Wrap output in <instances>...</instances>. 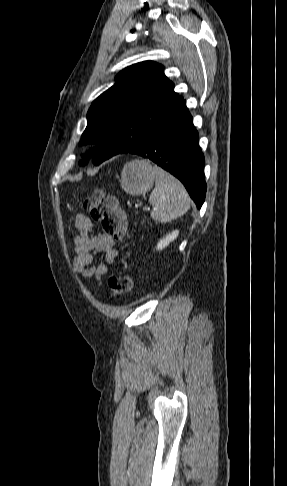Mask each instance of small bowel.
I'll return each instance as SVG.
<instances>
[{"instance_id":"c3829d8e","label":"small bowel","mask_w":287,"mask_h":486,"mask_svg":"<svg viewBox=\"0 0 287 486\" xmlns=\"http://www.w3.org/2000/svg\"><path fill=\"white\" fill-rule=\"evenodd\" d=\"M75 228L78 234L73 237V269L83 278H94L99 284L118 255L115 240L105 233H96L91 219L83 214L76 216ZM100 254L104 261L95 263V257Z\"/></svg>"}]
</instances>
